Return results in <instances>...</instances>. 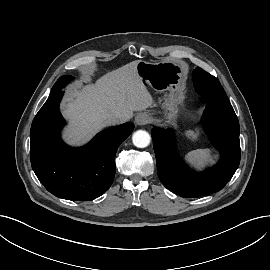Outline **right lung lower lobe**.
I'll use <instances>...</instances> for the list:
<instances>
[{
	"label": "right lung lower lobe",
	"mask_w": 270,
	"mask_h": 270,
	"mask_svg": "<svg viewBox=\"0 0 270 270\" xmlns=\"http://www.w3.org/2000/svg\"><path fill=\"white\" fill-rule=\"evenodd\" d=\"M62 96V89L50 93L32 122L31 165L39 181L53 195L67 200H93L111 186L116 151L134 125L110 127L86 146L71 148L57 135L64 125L59 111Z\"/></svg>",
	"instance_id": "1"
}]
</instances>
